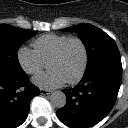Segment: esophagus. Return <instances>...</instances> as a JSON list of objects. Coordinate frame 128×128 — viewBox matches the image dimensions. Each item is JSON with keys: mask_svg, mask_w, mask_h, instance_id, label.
<instances>
[{"mask_svg": "<svg viewBox=\"0 0 128 128\" xmlns=\"http://www.w3.org/2000/svg\"><path fill=\"white\" fill-rule=\"evenodd\" d=\"M50 93H51V91L46 90V89H43V88H40V94H41V95H48V94H50Z\"/></svg>", "mask_w": 128, "mask_h": 128, "instance_id": "obj_1", "label": "esophagus"}]
</instances>
